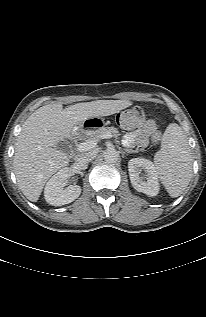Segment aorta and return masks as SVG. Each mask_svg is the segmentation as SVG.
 <instances>
[{
	"label": "aorta",
	"instance_id": "obj_1",
	"mask_svg": "<svg viewBox=\"0 0 206 317\" xmlns=\"http://www.w3.org/2000/svg\"><path fill=\"white\" fill-rule=\"evenodd\" d=\"M104 159L108 163H116L119 159V153L114 148L107 149L104 153Z\"/></svg>",
	"mask_w": 206,
	"mask_h": 317
}]
</instances>
